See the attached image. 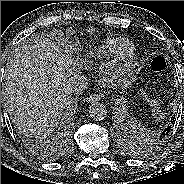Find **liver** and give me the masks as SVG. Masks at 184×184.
<instances>
[{
  "label": "liver",
  "instance_id": "1",
  "mask_svg": "<svg viewBox=\"0 0 184 184\" xmlns=\"http://www.w3.org/2000/svg\"><path fill=\"white\" fill-rule=\"evenodd\" d=\"M69 67L54 42L43 38L25 42L7 63L5 100L15 119L39 139L49 135L67 106Z\"/></svg>",
  "mask_w": 184,
  "mask_h": 184
}]
</instances>
